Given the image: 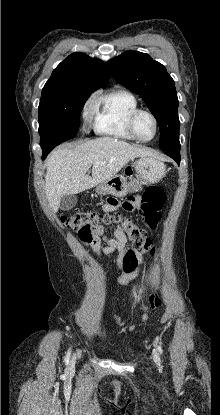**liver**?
<instances>
[{
  "instance_id": "1",
  "label": "liver",
  "mask_w": 220,
  "mask_h": 415,
  "mask_svg": "<svg viewBox=\"0 0 220 415\" xmlns=\"http://www.w3.org/2000/svg\"><path fill=\"white\" fill-rule=\"evenodd\" d=\"M147 156L153 154L111 137L56 149L47 160L45 174V194L52 210L59 209L62 196L93 188L114 177L131 159Z\"/></svg>"
}]
</instances>
